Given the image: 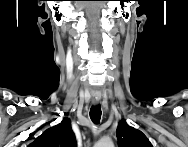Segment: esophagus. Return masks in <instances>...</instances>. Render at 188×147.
Masks as SVG:
<instances>
[{
  "label": "esophagus",
  "mask_w": 188,
  "mask_h": 147,
  "mask_svg": "<svg viewBox=\"0 0 188 147\" xmlns=\"http://www.w3.org/2000/svg\"><path fill=\"white\" fill-rule=\"evenodd\" d=\"M101 100V96L100 95H93V103L94 104H98Z\"/></svg>",
  "instance_id": "1"
}]
</instances>
